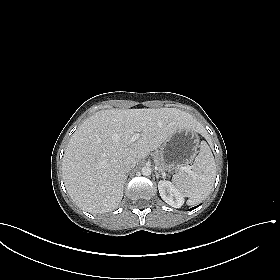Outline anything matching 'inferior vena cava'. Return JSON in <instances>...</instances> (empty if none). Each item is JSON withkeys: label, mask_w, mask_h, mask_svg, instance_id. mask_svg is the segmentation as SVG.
I'll return each mask as SVG.
<instances>
[{"label": "inferior vena cava", "mask_w": 280, "mask_h": 280, "mask_svg": "<svg viewBox=\"0 0 280 280\" xmlns=\"http://www.w3.org/2000/svg\"><path fill=\"white\" fill-rule=\"evenodd\" d=\"M136 159L128 156L123 160V166L126 172H129L131 169H133L136 166Z\"/></svg>", "instance_id": "1"}]
</instances>
